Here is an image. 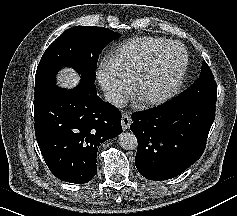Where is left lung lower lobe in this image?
<instances>
[{
  "label": "left lung lower lobe",
  "instance_id": "obj_1",
  "mask_svg": "<svg viewBox=\"0 0 237 216\" xmlns=\"http://www.w3.org/2000/svg\"><path fill=\"white\" fill-rule=\"evenodd\" d=\"M137 138L135 165L149 180L178 176L202 155L215 109L175 97L148 111L131 116Z\"/></svg>",
  "mask_w": 237,
  "mask_h": 216
}]
</instances>
